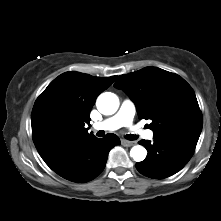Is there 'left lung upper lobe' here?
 Returning <instances> with one entry per match:
<instances>
[{
  "label": "left lung upper lobe",
  "mask_w": 221,
  "mask_h": 221,
  "mask_svg": "<svg viewBox=\"0 0 221 221\" xmlns=\"http://www.w3.org/2000/svg\"><path fill=\"white\" fill-rule=\"evenodd\" d=\"M114 86L136 105L139 118L152 120L154 138L176 134L200 135L202 114L191 86L179 75L145 67L120 75Z\"/></svg>",
  "instance_id": "left-lung-upper-lobe-1"
}]
</instances>
